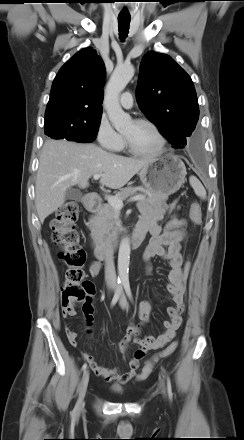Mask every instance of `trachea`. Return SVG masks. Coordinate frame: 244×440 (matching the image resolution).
Segmentation results:
<instances>
[{"label": "trachea", "instance_id": "3493384b", "mask_svg": "<svg viewBox=\"0 0 244 440\" xmlns=\"http://www.w3.org/2000/svg\"><path fill=\"white\" fill-rule=\"evenodd\" d=\"M130 18H118V29L120 39L124 40L129 33Z\"/></svg>", "mask_w": 244, "mask_h": 440}]
</instances>
